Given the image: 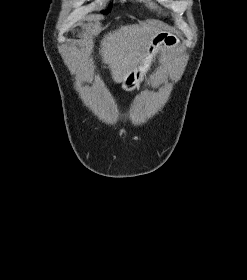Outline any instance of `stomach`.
Instances as JSON below:
<instances>
[{
	"mask_svg": "<svg viewBox=\"0 0 247 280\" xmlns=\"http://www.w3.org/2000/svg\"><path fill=\"white\" fill-rule=\"evenodd\" d=\"M178 45V38L171 33L158 32L154 34L150 39L143 60L138 67L132 70L122 81V88L125 91H133L136 88H139L153 62V57L155 58L157 53L164 50L173 51Z\"/></svg>",
	"mask_w": 247,
	"mask_h": 280,
	"instance_id": "stomach-1",
	"label": "stomach"
}]
</instances>
